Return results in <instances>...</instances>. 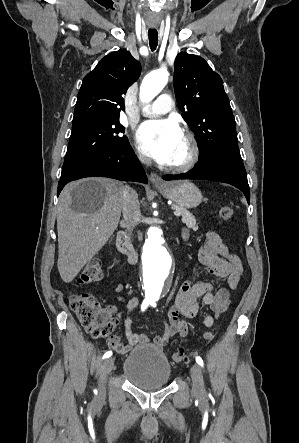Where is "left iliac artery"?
Here are the masks:
<instances>
[{
	"instance_id": "obj_1",
	"label": "left iliac artery",
	"mask_w": 299,
	"mask_h": 443,
	"mask_svg": "<svg viewBox=\"0 0 299 443\" xmlns=\"http://www.w3.org/2000/svg\"><path fill=\"white\" fill-rule=\"evenodd\" d=\"M156 301H158V300H157V299L150 300V305H151L152 307H156ZM196 362H197L198 365H200L201 367L204 366L203 360H202V358H201L200 356H196Z\"/></svg>"
}]
</instances>
